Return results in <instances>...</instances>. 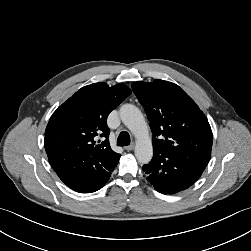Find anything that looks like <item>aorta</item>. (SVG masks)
<instances>
[{
	"label": "aorta",
	"mask_w": 251,
	"mask_h": 251,
	"mask_svg": "<svg viewBox=\"0 0 251 251\" xmlns=\"http://www.w3.org/2000/svg\"><path fill=\"white\" fill-rule=\"evenodd\" d=\"M120 118L136 138L135 157L141 164L151 161L153 156L149 129L141 111L132 104L120 107Z\"/></svg>",
	"instance_id": "aorta-1"
}]
</instances>
